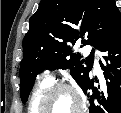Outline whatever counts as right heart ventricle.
I'll use <instances>...</instances> for the list:
<instances>
[{"label": "right heart ventricle", "mask_w": 121, "mask_h": 113, "mask_svg": "<svg viewBox=\"0 0 121 113\" xmlns=\"http://www.w3.org/2000/svg\"><path fill=\"white\" fill-rule=\"evenodd\" d=\"M51 84L50 78L43 79L36 87L30 102L29 109H38L43 91Z\"/></svg>", "instance_id": "1"}]
</instances>
